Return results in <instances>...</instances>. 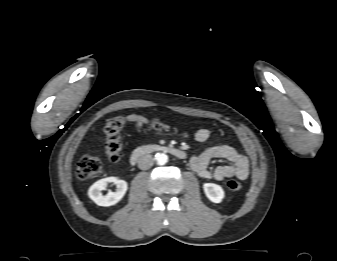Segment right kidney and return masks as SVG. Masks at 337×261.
Returning <instances> with one entry per match:
<instances>
[{"label":"right kidney","instance_id":"obj_1","mask_svg":"<svg viewBox=\"0 0 337 261\" xmlns=\"http://www.w3.org/2000/svg\"><path fill=\"white\" fill-rule=\"evenodd\" d=\"M108 183L116 185V191H109L106 195L101 193ZM128 189L127 182L118 180L115 177H108L96 181L88 190L89 197L99 206H112L118 203L125 195Z\"/></svg>","mask_w":337,"mask_h":261}]
</instances>
